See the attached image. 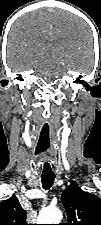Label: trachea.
<instances>
[{"label": "trachea", "mask_w": 101, "mask_h": 225, "mask_svg": "<svg viewBox=\"0 0 101 225\" xmlns=\"http://www.w3.org/2000/svg\"><path fill=\"white\" fill-rule=\"evenodd\" d=\"M55 175L41 176L42 186L45 190L50 189L53 185Z\"/></svg>", "instance_id": "trachea-1"}]
</instances>
